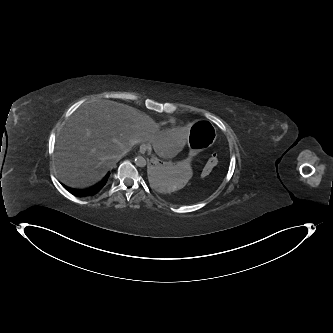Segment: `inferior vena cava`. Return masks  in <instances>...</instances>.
Returning a JSON list of instances; mask_svg holds the SVG:
<instances>
[{"label": "inferior vena cava", "instance_id": "inferior-vena-cava-1", "mask_svg": "<svg viewBox=\"0 0 333 333\" xmlns=\"http://www.w3.org/2000/svg\"><path fill=\"white\" fill-rule=\"evenodd\" d=\"M127 152H128V151L123 152V153H122V156H124Z\"/></svg>", "mask_w": 333, "mask_h": 333}]
</instances>
